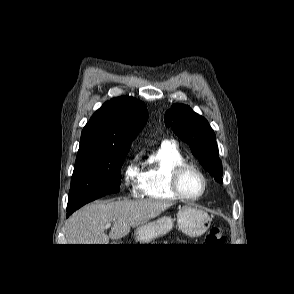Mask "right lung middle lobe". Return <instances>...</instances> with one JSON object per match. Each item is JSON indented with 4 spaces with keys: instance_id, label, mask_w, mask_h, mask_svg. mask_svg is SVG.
<instances>
[{
    "instance_id": "1",
    "label": "right lung middle lobe",
    "mask_w": 294,
    "mask_h": 294,
    "mask_svg": "<svg viewBox=\"0 0 294 294\" xmlns=\"http://www.w3.org/2000/svg\"><path fill=\"white\" fill-rule=\"evenodd\" d=\"M130 149H79L71 179L68 206L86 204L119 192L121 167Z\"/></svg>"
}]
</instances>
